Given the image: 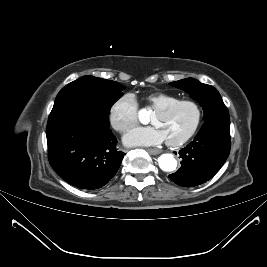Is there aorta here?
<instances>
[{
    "mask_svg": "<svg viewBox=\"0 0 267 267\" xmlns=\"http://www.w3.org/2000/svg\"><path fill=\"white\" fill-rule=\"evenodd\" d=\"M159 167L165 172L174 171L177 167V160L172 154L164 153L158 158Z\"/></svg>",
    "mask_w": 267,
    "mask_h": 267,
    "instance_id": "1",
    "label": "aorta"
}]
</instances>
